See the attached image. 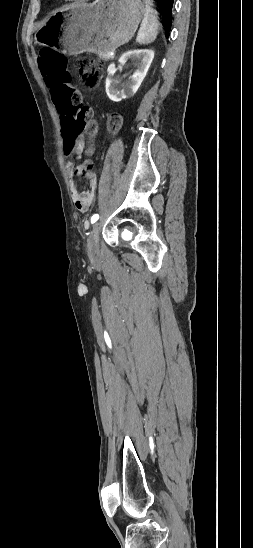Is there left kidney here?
Masks as SVG:
<instances>
[{
	"instance_id": "5707ae66",
	"label": "left kidney",
	"mask_w": 253,
	"mask_h": 548,
	"mask_svg": "<svg viewBox=\"0 0 253 548\" xmlns=\"http://www.w3.org/2000/svg\"><path fill=\"white\" fill-rule=\"evenodd\" d=\"M153 58L154 52L149 49L133 50L124 53L119 58L118 62L125 64L128 60H132L137 66L136 71L131 76L130 82L126 84H121L114 76L117 69L114 63L110 64L107 69L108 76L105 82L106 93L109 99L114 102H119L123 99L132 97L145 78Z\"/></svg>"
}]
</instances>
